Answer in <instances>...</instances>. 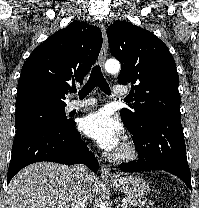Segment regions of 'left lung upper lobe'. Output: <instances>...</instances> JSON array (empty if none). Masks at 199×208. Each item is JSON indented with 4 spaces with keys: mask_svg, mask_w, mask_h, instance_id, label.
Here are the masks:
<instances>
[{
    "mask_svg": "<svg viewBox=\"0 0 199 208\" xmlns=\"http://www.w3.org/2000/svg\"><path fill=\"white\" fill-rule=\"evenodd\" d=\"M111 54L122 65L118 82L132 84L134 104L120 112L128 130L137 136L156 117H181L179 76L163 41L130 22L117 21L107 29Z\"/></svg>",
    "mask_w": 199,
    "mask_h": 208,
    "instance_id": "left-lung-upper-lobe-1",
    "label": "left lung upper lobe"
}]
</instances>
